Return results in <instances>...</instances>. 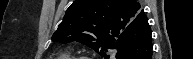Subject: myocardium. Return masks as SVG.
I'll return each instance as SVG.
<instances>
[{
  "mask_svg": "<svg viewBox=\"0 0 193 59\" xmlns=\"http://www.w3.org/2000/svg\"><path fill=\"white\" fill-rule=\"evenodd\" d=\"M70 59H92V58L86 57V56H81V57L70 58Z\"/></svg>",
  "mask_w": 193,
  "mask_h": 59,
  "instance_id": "f54148a6",
  "label": "myocardium"
}]
</instances>
